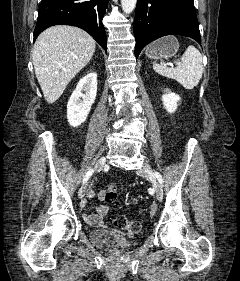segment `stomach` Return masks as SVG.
<instances>
[{
	"instance_id": "0dacf381",
	"label": "stomach",
	"mask_w": 240,
	"mask_h": 281,
	"mask_svg": "<svg viewBox=\"0 0 240 281\" xmlns=\"http://www.w3.org/2000/svg\"><path fill=\"white\" fill-rule=\"evenodd\" d=\"M179 48L178 40L173 37L162 38L146 48L145 54L151 59H167L176 54Z\"/></svg>"
}]
</instances>
